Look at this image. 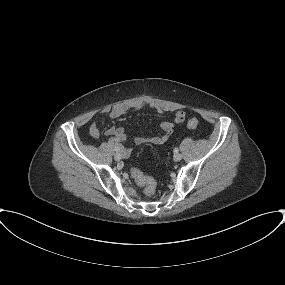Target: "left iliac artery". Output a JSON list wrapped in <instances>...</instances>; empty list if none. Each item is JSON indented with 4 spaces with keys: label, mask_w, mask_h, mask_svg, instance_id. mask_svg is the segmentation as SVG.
I'll return each mask as SVG.
<instances>
[{
    "label": "left iliac artery",
    "mask_w": 285,
    "mask_h": 285,
    "mask_svg": "<svg viewBox=\"0 0 285 285\" xmlns=\"http://www.w3.org/2000/svg\"><path fill=\"white\" fill-rule=\"evenodd\" d=\"M179 149L178 148H175L174 149V153H178Z\"/></svg>",
    "instance_id": "obj_1"
}]
</instances>
